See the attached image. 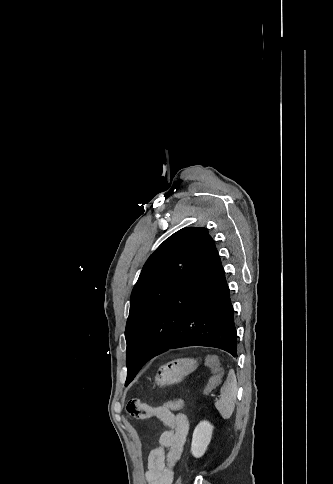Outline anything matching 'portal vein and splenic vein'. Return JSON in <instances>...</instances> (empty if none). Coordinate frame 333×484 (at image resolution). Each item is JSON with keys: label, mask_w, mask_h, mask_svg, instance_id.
<instances>
[{"label": "portal vein and splenic vein", "mask_w": 333, "mask_h": 484, "mask_svg": "<svg viewBox=\"0 0 333 484\" xmlns=\"http://www.w3.org/2000/svg\"><path fill=\"white\" fill-rule=\"evenodd\" d=\"M211 396L214 397V398L216 397L215 395H211Z\"/></svg>", "instance_id": "portal-vein-and-splenic-vein-1"}]
</instances>
